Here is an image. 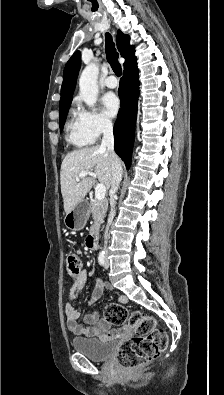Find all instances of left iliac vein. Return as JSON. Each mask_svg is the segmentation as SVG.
<instances>
[{"label":"left iliac vein","mask_w":224,"mask_h":395,"mask_svg":"<svg viewBox=\"0 0 224 395\" xmlns=\"http://www.w3.org/2000/svg\"><path fill=\"white\" fill-rule=\"evenodd\" d=\"M104 267H105V269H107L108 267H109V260H108V257L106 256V259H105V265H104Z\"/></svg>","instance_id":"4c4485c4"}]
</instances>
